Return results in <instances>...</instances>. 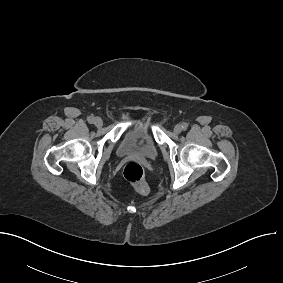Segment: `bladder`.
I'll use <instances>...</instances> for the list:
<instances>
[{
    "label": "bladder",
    "mask_w": 283,
    "mask_h": 283,
    "mask_svg": "<svg viewBox=\"0 0 283 283\" xmlns=\"http://www.w3.org/2000/svg\"><path fill=\"white\" fill-rule=\"evenodd\" d=\"M116 152L120 157L154 158L157 154V144L149 125L139 121L127 128Z\"/></svg>",
    "instance_id": "obj_1"
}]
</instances>
